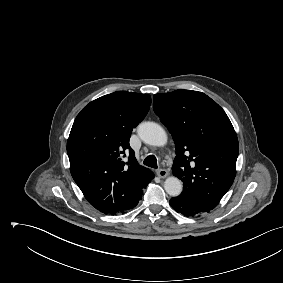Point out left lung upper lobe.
<instances>
[{
  "label": "left lung upper lobe",
  "mask_w": 283,
  "mask_h": 283,
  "mask_svg": "<svg viewBox=\"0 0 283 283\" xmlns=\"http://www.w3.org/2000/svg\"><path fill=\"white\" fill-rule=\"evenodd\" d=\"M153 109L173 136L172 171L183 192L215 208L236 175L239 145L228 116L210 97L190 90L155 94Z\"/></svg>",
  "instance_id": "5c2ea615"
}]
</instances>
